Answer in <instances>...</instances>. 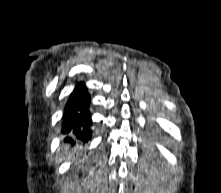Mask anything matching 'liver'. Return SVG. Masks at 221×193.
<instances>
[{
	"mask_svg": "<svg viewBox=\"0 0 221 193\" xmlns=\"http://www.w3.org/2000/svg\"><path fill=\"white\" fill-rule=\"evenodd\" d=\"M66 151H67V148H66ZM70 156H71V154H70V153H68V154H67V158H69Z\"/></svg>",
	"mask_w": 221,
	"mask_h": 193,
	"instance_id": "6515ba94",
	"label": "liver"
}]
</instances>
